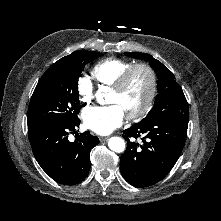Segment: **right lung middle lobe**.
I'll list each match as a JSON object with an SVG mask.
<instances>
[{"label": "right lung middle lobe", "instance_id": "dd1d6c3e", "mask_svg": "<svg viewBox=\"0 0 221 221\" xmlns=\"http://www.w3.org/2000/svg\"><path fill=\"white\" fill-rule=\"evenodd\" d=\"M101 55L95 51H75L52 64L31 97L28 127L56 121H78V78L85 65Z\"/></svg>", "mask_w": 221, "mask_h": 221}]
</instances>
